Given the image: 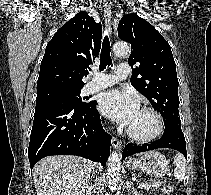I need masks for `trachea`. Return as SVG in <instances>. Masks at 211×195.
<instances>
[{
  "mask_svg": "<svg viewBox=\"0 0 211 195\" xmlns=\"http://www.w3.org/2000/svg\"><path fill=\"white\" fill-rule=\"evenodd\" d=\"M110 41L108 36L104 37L103 43H102V49H101V54H100V65L99 69L102 71L106 68L108 65H112L111 57H110Z\"/></svg>",
  "mask_w": 211,
  "mask_h": 195,
  "instance_id": "3493384b",
  "label": "trachea"
}]
</instances>
